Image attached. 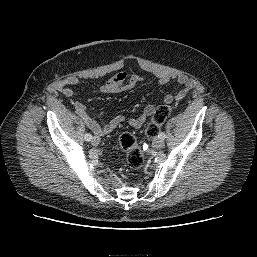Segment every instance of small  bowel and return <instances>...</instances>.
Segmentation results:
<instances>
[{"instance_id":"obj_1","label":"small bowel","mask_w":257,"mask_h":257,"mask_svg":"<svg viewBox=\"0 0 257 257\" xmlns=\"http://www.w3.org/2000/svg\"><path fill=\"white\" fill-rule=\"evenodd\" d=\"M157 79L160 85H165L170 81V76L162 73L157 75ZM176 80L178 84L183 86V88L178 90L175 94L165 95L164 102L166 104H171L174 101L184 99L189 91L195 87V81L187 75H179ZM142 81L143 78L137 73L129 74L126 71H120L113 75L102 86H100L98 91L104 94L118 93L130 89ZM80 83L81 80L78 77L71 76L59 82L58 89L64 96L72 97L73 91L69 88V86L79 85ZM74 106L76 113L97 137H102L109 134L120 123L125 121L123 116L118 115L109 120L106 124L102 125L89 115L87 107L82 102L75 101ZM154 111L155 106L149 104L143 109L142 113L138 117L128 119V124L133 128H140L154 113Z\"/></svg>"}]
</instances>
